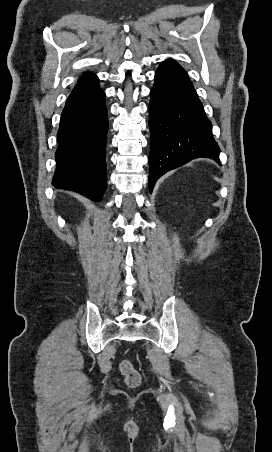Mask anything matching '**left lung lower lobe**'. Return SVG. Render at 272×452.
I'll use <instances>...</instances> for the list:
<instances>
[{"label": "left lung lower lobe", "mask_w": 272, "mask_h": 452, "mask_svg": "<svg viewBox=\"0 0 272 452\" xmlns=\"http://www.w3.org/2000/svg\"><path fill=\"white\" fill-rule=\"evenodd\" d=\"M149 190L157 179L198 157L219 162L212 124L187 75L173 59L163 61L150 91Z\"/></svg>", "instance_id": "1"}]
</instances>
